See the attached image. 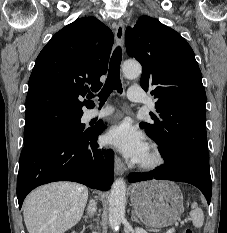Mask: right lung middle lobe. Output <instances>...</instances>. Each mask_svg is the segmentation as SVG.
<instances>
[{
    "mask_svg": "<svg viewBox=\"0 0 227 233\" xmlns=\"http://www.w3.org/2000/svg\"><path fill=\"white\" fill-rule=\"evenodd\" d=\"M84 125L81 124L80 118L75 119L73 121L67 122L60 126H57L53 129H50L45 132L24 135V145L30 144L32 142L51 137V136H59V135H67V136H75L84 133Z\"/></svg>",
    "mask_w": 227,
    "mask_h": 233,
    "instance_id": "obj_1",
    "label": "right lung middle lobe"
}]
</instances>
